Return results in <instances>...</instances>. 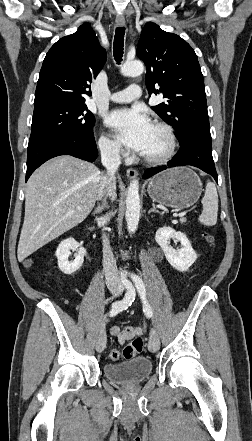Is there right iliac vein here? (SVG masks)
<instances>
[{
    "label": "right iliac vein",
    "instance_id": "right-iliac-vein-1",
    "mask_svg": "<svg viewBox=\"0 0 252 441\" xmlns=\"http://www.w3.org/2000/svg\"><path fill=\"white\" fill-rule=\"evenodd\" d=\"M112 295L113 297H118L120 295V291L118 289H114L112 290ZM105 346H106V331H105V325L104 323H102L96 346L97 352L99 353L103 352Z\"/></svg>",
    "mask_w": 252,
    "mask_h": 441
}]
</instances>
